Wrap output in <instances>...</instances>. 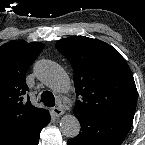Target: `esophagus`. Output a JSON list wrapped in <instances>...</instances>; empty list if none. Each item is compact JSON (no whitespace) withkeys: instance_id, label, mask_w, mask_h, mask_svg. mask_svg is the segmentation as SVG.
Instances as JSON below:
<instances>
[{"instance_id":"obj_1","label":"esophagus","mask_w":145,"mask_h":145,"mask_svg":"<svg viewBox=\"0 0 145 145\" xmlns=\"http://www.w3.org/2000/svg\"><path fill=\"white\" fill-rule=\"evenodd\" d=\"M52 112H53V114L56 117H59V116L64 114V110L62 108H60V107H54V108H52Z\"/></svg>"}]
</instances>
